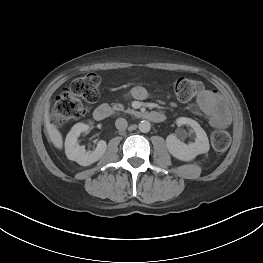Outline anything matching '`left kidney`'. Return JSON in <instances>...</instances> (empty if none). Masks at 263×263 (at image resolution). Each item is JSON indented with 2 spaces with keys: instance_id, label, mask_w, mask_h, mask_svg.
Returning a JSON list of instances; mask_svg holds the SVG:
<instances>
[{
  "instance_id": "1",
  "label": "left kidney",
  "mask_w": 263,
  "mask_h": 263,
  "mask_svg": "<svg viewBox=\"0 0 263 263\" xmlns=\"http://www.w3.org/2000/svg\"><path fill=\"white\" fill-rule=\"evenodd\" d=\"M178 126L189 125L196 133L195 142L185 144L174 135L170 134L166 138L168 151L177 159L182 161H191L197 155L209 151V140L206 132L195 120L186 117H180L176 120Z\"/></svg>"
}]
</instances>
